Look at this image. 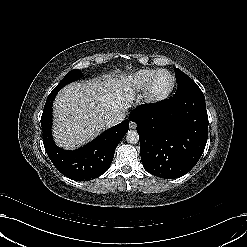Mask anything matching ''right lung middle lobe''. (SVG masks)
<instances>
[{"label":"right lung middle lobe","instance_id":"right-lung-middle-lobe-1","mask_svg":"<svg viewBox=\"0 0 247 247\" xmlns=\"http://www.w3.org/2000/svg\"><path fill=\"white\" fill-rule=\"evenodd\" d=\"M80 74H81L80 70H71L70 72H68L65 75V77L61 80V82L53 90L59 91L65 85L77 80L79 78Z\"/></svg>","mask_w":247,"mask_h":247}]
</instances>
